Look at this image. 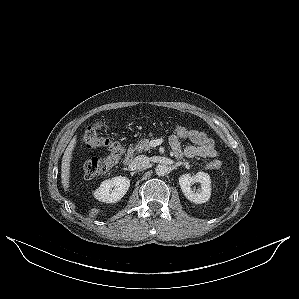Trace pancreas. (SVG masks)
Listing matches in <instances>:
<instances>
[{"instance_id":"cf45deb5","label":"pancreas","mask_w":299,"mask_h":299,"mask_svg":"<svg viewBox=\"0 0 299 299\" xmlns=\"http://www.w3.org/2000/svg\"><path fill=\"white\" fill-rule=\"evenodd\" d=\"M151 149L150 146V139L149 138H144L142 139L139 143H137L135 145V147L133 148L134 151H137L139 153L143 152V151H148Z\"/></svg>"}]
</instances>
